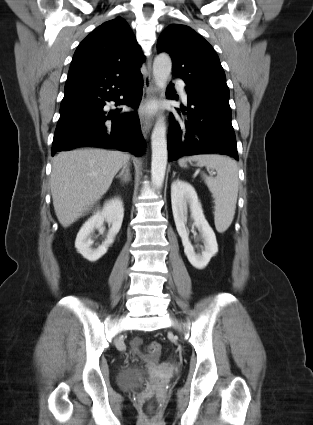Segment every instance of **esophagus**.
I'll return each mask as SVG.
<instances>
[{
    "instance_id": "1",
    "label": "esophagus",
    "mask_w": 313,
    "mask_h": 425,
    "mask_svg": "<svg viewBox=\"0 0 313 425\" xmlns=\"http://www.w3.org/2000/svg\"><path fill=\"white\" fill-rule=\"evenodd\" d=\"M147 74L144 76V93L142 98V109L147 101L154 99L157 93V87L155 85L153 76H152V63L151 59H148L147 62ZM140 125L143 135L146 137L150 132L152 127V119L149 115L143 111L140 114Z\"/></svg>"
}]
</instances>
